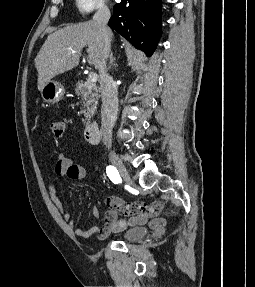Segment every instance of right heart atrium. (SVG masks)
<instances>
[{
    "mask_svg": "<svg viewBox=\"0 0 255 287\" xmlns=\"http://www.w3.org/2000/svg\"><path fill=\"white\" fill-rule=\"evenodd\" d=\"M82 33H86V32H82ZM65 48H85V47H65Z\"/></svg>",
    "mask_w": 255,
    "mask_h": 287,
    "instance_id": "obj_1",
    "label": "right heart atrium"
}]
</instances>
